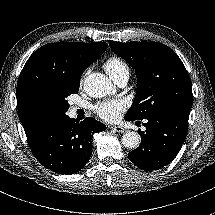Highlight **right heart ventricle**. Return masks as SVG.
<instances>
[{
	"label": "right heart ventricle",
	"instance_id": "right-heart-ventricle-1",
	"mask_svg": "<svg viewBox=\"0 0 215 215\" xmlns=\"http://www.w3.org/2000/svg\"><path fill=\"white\" fill-rule=\"evenodd\" d=\"M106 72L110 75L113 80H117L122 74L128 73L129 74V67L126 62L118 57V56H111L109 57L103 65Z\"/></svg>",
	"mask_w": 215,
	"mask_h": 215
}]
</instances>
